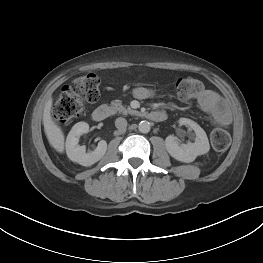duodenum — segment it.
Listing matches in <instances>:
<instances>
[{"label":"duodenum","instance_id":"410a0bca","mask_svg":"<svg viewBox=\"0 0 263 263\" xmlns=\"http://www.w3.org/2000/svg\"><path fill=\"white\" fill-rule=\"evenodd\" d=\"M109 115V108L105 105L99 106L92 112V118L96 122L104 121ZM147 117L155 122H162L167 118V115L163 111H151L147 114Z\"/></svg>","mask_w":263,"mask_h":263}]
</instances>
